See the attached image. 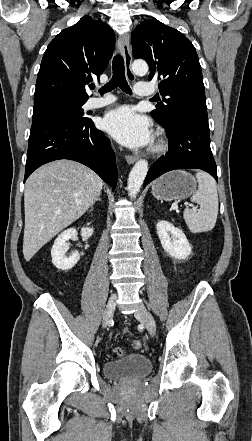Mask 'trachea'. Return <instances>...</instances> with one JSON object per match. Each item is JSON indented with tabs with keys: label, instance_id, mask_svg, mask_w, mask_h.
I'll return each instance as SVG.
<instances>
[{
	"label": "trachea",
	"instance_id": "obj_1",
	"mask_svg": "<svg viewBox=\"0 0 252 441\" xmlns=\"http://www.w3.org/2000/svg\"><path fill=\"white\" fill-rule=\"evenodd\" d=\"M112 70L113 76L111 80L99 90L100 94L102 95L104 92L112 91L117 87H119L125 93L132 94V91L125 78L124 60L121 55L118 54L114 57L112 62ZM94 88L95 86L91 87V89ZM154 99L155 98L152 100Z\"/></svg>",
	"mask_w": 252,
	"mask_h": 441
}]
</instances>
